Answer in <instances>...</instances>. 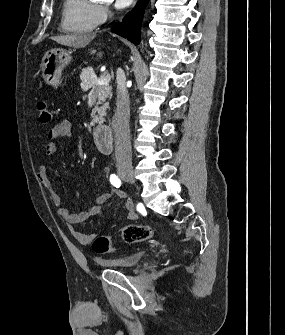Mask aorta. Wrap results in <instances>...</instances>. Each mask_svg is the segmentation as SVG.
Returning <instances> with one entry per match:
<instances>
[{
	"label": "aorta",
	"instance_id": "aorta-1",
	"mask_svg": "<svg viewBox=\"0 0 285 335\" xmlns=\"http://www.w3.org/2000/svg\"><path fill=\"white\" fill-rule=\"evenodd\" d=\"M90 2H97V0H90Z\"/></svg>",
	"mask_w": 285,
	"mask_h": 335
}]
</instances>
